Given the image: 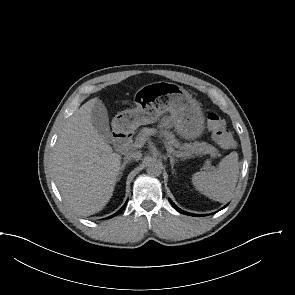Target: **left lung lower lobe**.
Returning a JSON list of instances; mask_svg holds the SVG:
<instances>
[{"instance_id": "left-lung-lower-lobe-1", "label": "left lung lower lobe", "mask_w": 295, "mask_h": 295, "mask_svg": "<svg viewBox=\"0 0 295 295\" xmlns=\"http://www.w3.org/2000/svg\"><path fill=\"white\" fill-rule=\"evenodd\" d=\"M170 203L172 204V206L180 213H183V214H186V215H190V216H203V215H195V214H192V213H188L186 211H183L181 210L180 208H178L171 200H170ZM227 206V205H226ZM225 206V207H226ZM223 209V208H222Z\"/></svg>"}]
</instances>
